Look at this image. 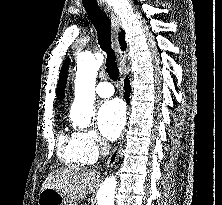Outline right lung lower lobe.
<instances>
[{"mask_svg": "<svg viewBox=\"0 0 222 205\" xmlns=\"http://www.w3.org/2000/svg\"><path fill=\"white\" fill-rule=\"evenodd\" d=\"M124 83H125V86H124V89H125V99L127 100V102H129V95H130V91H131V88H130V84H129V81H128V78H126L124 80Z\"/></svg>", "mask_w": 222, "mask_h": 205, "instance_id": "98d812e1", "label": "right lung lower lobe"}]
</instances>
